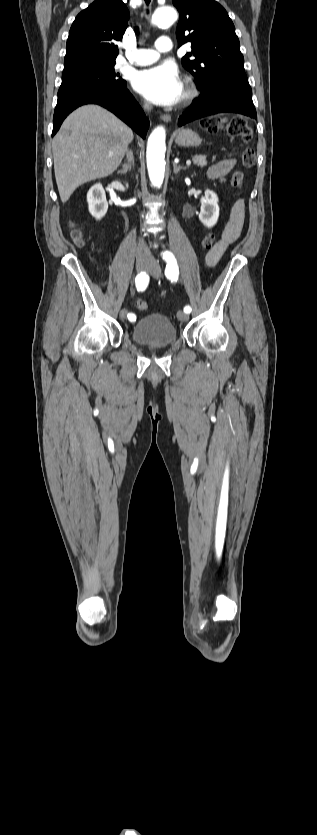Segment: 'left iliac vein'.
<instances>
[{
  "mask_svg": "<svg viewBox=\"0 0 317 835\" xmlns=\"http://www.w3.org/2000/svg\"><path fill=\"white\" fill-rule=\"evenodd\" d=\"M146 270H147V272H148L149 274H151L154 278H157V279H158V278L161 276V268H160V265H159V263H158V262H157L154 258H150V259H149V264H148V266H147ZM177 318H178L180 321L184 322V321H187V320H188L189 316H188V314H187V313H185V312H183V311H179V312L177 313Z\"/></svg>",
  "mask_w": 317,
  "mask_h": 835,
  "instance_id": "obj_1",
  "label": "left iliac vein"
}]
</instances>
